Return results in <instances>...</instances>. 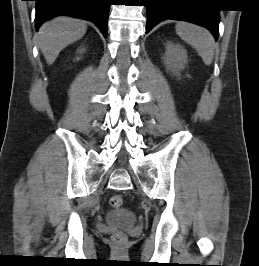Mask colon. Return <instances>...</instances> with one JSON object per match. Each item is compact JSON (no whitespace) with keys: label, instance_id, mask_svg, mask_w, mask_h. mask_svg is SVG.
Returning <instances> with one entry per match:
<instances>
[{"label":"colon","instance_id":"colon-1","mask_svg":"<svg viewBox=\"0 0 259 266\" xmlns=\"http://www.w3.org/2000/svg\"><path fill=\"white\" fill-rule=\"evenodd\" d=\"M109 202L113 208L118 209L123 206L124 200L121 195H113ZM113 240L117 245H124L127 242V237L123 233H117L113 236Z\"/></svg>","mask_w":259,"mask_h":266}]
</instances>
